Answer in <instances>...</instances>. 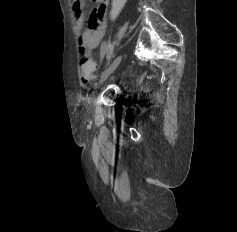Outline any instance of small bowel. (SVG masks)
Returning a JSON list of instances; mask_svg holds the SVG:
<instances>
[{
    "label": "small bowel",
    "instance_id": "obj_1",
    "mask_svg": "<svg viewBox=\"0 0 237 232\" xmlns=\"http://www.w3.org/2000/svg\"><path fill=\"white\" fill-rule=\"evenodd\" d=\"M97 6L91 11L88 23L85 26L84 5L85 0H74L73 10L77 28L81 31L78 43L79 52L89 56L101 42L107 25V8L109 0H92Z\"/></svg>",
    "mask_w": 237,
    "mask_h": 232
}]
</instances>
